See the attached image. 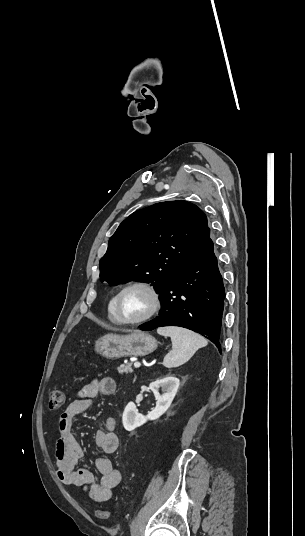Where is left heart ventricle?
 Returning <instances> with one entry per match:
<instances>
[{
  "mask_svg": "<svg viewBox=\"0 0 305 536\" xmlns=\"http://www.w3.org/2000/svg\"><path fill=\"white\" fill-rule=\"evenodd\" d=\"M151 305V296L144 288H129L121 297V317L124 320L140 319L148 313Z\"/></svg>",
  "mask_w": 305,
  "mask_h": 536,
  "instance_id": "b2bd125f",
  "label": "left heart ventricle"
}]
</instances>
